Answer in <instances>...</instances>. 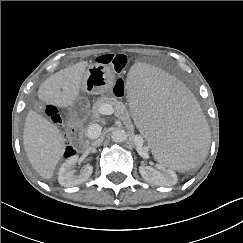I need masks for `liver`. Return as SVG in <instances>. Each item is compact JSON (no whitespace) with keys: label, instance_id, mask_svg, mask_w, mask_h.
Listing matches in <instances>:
<instances>
[{"label":"liver","instance_id":"6515ba94","mask_svg":"<svg viewBox=\"0 0 243 243\" xmlns=\"http://www.w3.org/2000/svg\"><path fill=\"white\" fill-rule=\"evenodd\" d=\"M87 66L88 62L82 61L51 75L39 87V98L57 107L72 106L79 98ZM23 144L34 170L44 179H50L66 147L57 126L30 110L24 124Z\"/></svg>","mask_w":243,"mask_h":243}]
</instances>
